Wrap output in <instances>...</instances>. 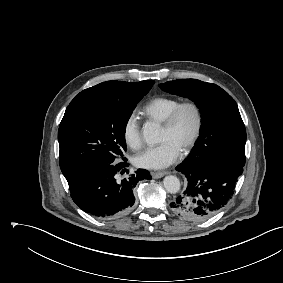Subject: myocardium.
Listing matches in <instances>:
<instances>
[{"label": "myocardium", "instance_id": "1", "mask_svg": "<svg viewBox=\"0 0 283 283\" xmlns=\"http://www.w3.org/2000/svg\"><path fill=\"white\" fill-rule=\"evenodd\" d=\"M186 109H190L193 112L195 118V124L190 138L181 149L183 152H187L190 149H192L200 137L203 127V112L200 105L193 100L180 102L172 110V112L169 114L167 119L162 123L163 129L167 131L173 130L179 120L181 113Z\"/></svg>", "mask_w": 283, "mask_h": 283}]
</instances>
